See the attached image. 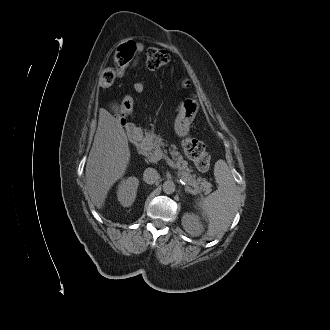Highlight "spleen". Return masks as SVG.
Instances as JSON below:
<instances>
[{
  "label": "spleen",
  "mask_w": 330,
  "mask_h": 330,
  "mask_svg": "<svg viewBox=\"0 0 330 330\" xmlns=\"http://www.w3.org/2000/svg\"><path fill=\"white\" fill-rule=\"evenodd\" d=\"M218 189L196 201L195 207L208 222V236H214L228 228L238 210V189L232 172L224 160L214 166Z\"/></svg>",
  "instance_id": "1"
}]
</instances>
